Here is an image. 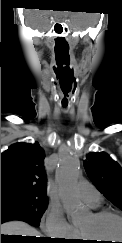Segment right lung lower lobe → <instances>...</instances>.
I'll list each match as a JSON object with an SVG mask.
<instances>
[{"mask_svg": "<svg viewBox=\"0 0 122 243\" xmlns=\"http://www.w3.org/2000/svg\"><path fill=\"white\" fill-rule=\"evenodd\" d=\"M11 220H21L25 221L35 227L39 226V222H37L35 219H33L31 216L22 213V212H15V211H8V210H1V224L7 221ZM41 243H54V241H51L47 238H43L40 240H37Z\"/></svg>", "mask_w": 122, "mask_h": 243, "instance_id": "right-lung-lower-lobe-1", "label": "right lung lower lobe"}]
</instances>
